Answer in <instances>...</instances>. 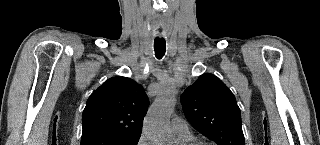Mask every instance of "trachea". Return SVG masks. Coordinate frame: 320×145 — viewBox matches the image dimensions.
<instances>
[{
  "label": "trachea",
  "instance_id": "1",
  "mask_svg": "<svg viewBox=\"0 0 320 145\" xmlns=\"http://www.w3.org/2000/svg\"><path fill=\"white\" fill-rule=\"evenodd\" d=\"M154 51L157 59H161L165 55L166 41L163 38H155L154 40Z\"/></svg>",
  "mask_w": 320,
  "mask_h": 145
}]
</instances>
